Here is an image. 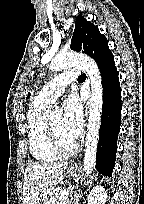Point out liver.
<instances>
[{"instance_id": "obj_1", "label": "liver", "mask_w": 144, "mask_h": 204, "mask_svg": "<svg viewBox=\"0 0 144 204\" xmlns=\"http://www.w3.org/2000/svg\"><path fill=\"white\" fill-rule=\"evenodd\" d=\"M68 162L29 163L23 179V204H34L47 187L62 183Z\"/></svg>"}]
</instances>
